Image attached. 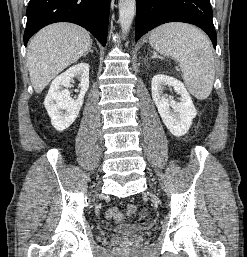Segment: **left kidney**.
I'll return each mask as SVG.
<instances>
[{
    "mask_svg": "<svg viewBox=\"0 0 247 257\" xmlns=\"http://www.w3.org/2000/svg\"><path fill=\"white\" fill-rule=\"evenodd\" d=\"M166 86L174 88L175 92L181 96L180 102L163 94ZM151 90L153 101L168 130L174 136L185 135L191 127L197 111L184 84L174 77L158 74L152 78Z\"/></svg>",
    "mask_w": 247,
    "mask_h": 257,
    "instance_id": "1",
    "label": "left kidney"
}]
</instances>
